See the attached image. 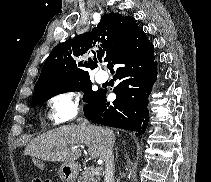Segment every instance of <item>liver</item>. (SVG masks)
<instances>
[{"label": "liver", "instance_id": "liver-1", "mask_svg": "<svg viewBox=\"0 0 211 182\" xmlns=\"http://www.w3.org/2000/svg\"><path fill=\"white\" fill-rule=\"evenodd\" d=\"M101 129L104 128L93 125H68L47 131L30 141L24 155L44 161L74 162L81 156L79 146L85 144L91 158L102 159L105 142ZM106 130L107 140L113 147L115 135L110 129Z\"/></svg>", "mask_w": 211, "mask_h": 182}]
</instances>
